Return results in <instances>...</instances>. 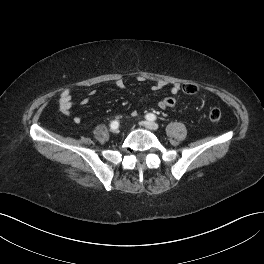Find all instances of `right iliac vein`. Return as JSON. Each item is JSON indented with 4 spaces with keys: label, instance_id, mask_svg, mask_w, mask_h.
<instances>
[{
    "label": "right iliac vein",
    "instance_id": "63e3f726",
    "mask_svg": "<svg viewBox=\"0 0 264 264\" xmlns=\"http://www.w3.org/2000/svg\"><path fill=\"white\" fill-rule=\"evenodd\" d=\"M112 132L113 133H119V129L118 128L112 129Z\"/></svg>",
    "mask_w": 264,
    "mask_h": 264
}]
</instances>
